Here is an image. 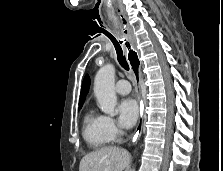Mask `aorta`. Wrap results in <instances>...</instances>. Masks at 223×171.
I'll return each mask as SVG.
<instances>
[{
  "label": "aorta",
  "mask_w": 223,
  "mask_h": 171,
  "mask_svg": "<svg viewBox=\"0 0 223 171\" xmlns=\"http://www.w3.org/2000/svg\"><path fill=\"white\" fill-rule=\"evenodd\" d=\"M114 83L115 67L112 64H106L99 69L95 76L94 94L102 112L111 116L115 115V107L117 104ZM131 171H134V169Z\"/></svg>",
  "instance_id": "obj_1"
}]
</instances>
